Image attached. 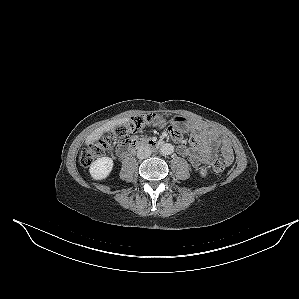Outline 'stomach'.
<instances>
[{
	"mask_svg": "<svg viewBox=\"0 0 299 299\" xmlns=\"http://www.w3.org/2000/svg\"><path fill=\"white\" fill-rule=\"evenodd\" d=\"M174 121H175V123H176L178 126H180V128H181L182 130H188V124H189V121L186 120V118L178 116V117H176V118L174 119ZM163 122H164V120H163L162 117H160V116H157V117H156V124H157V125H161Z\"/></svg>",
	"mask_w": 299,
	"mask_h": 299,
	"instance_id": "1",
	"label": "stomach"
}]
</instances>
